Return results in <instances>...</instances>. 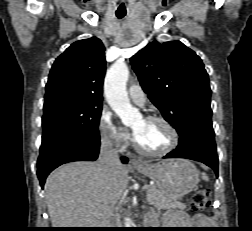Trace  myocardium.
I'll return each mask as SVG.
<instances>
[{
	"label": "myocardium",
	"instance_id": "f54148a6",
	"mask_svg": "<svg viewBox=\"0 0 252 231\" xmlns=\"http://www.w3.org/2000/svg\"><path fill=\"white\" fill-rule=\"evenodd\" d=\"M147 121H158L163 123L167 129L169 130L171 134V143L169 146L161 151H150L145 148H143L137 139L135 138L134 134L132 135V143L135 148V150L145 156H151V157H159V156H165L169 153H171L179 144V133L175 126L166 118L159 116V115H148L144 118Z\"/></svg>",
	"mask_w": 252,
	"mask_h": 231
}]
</instances>
